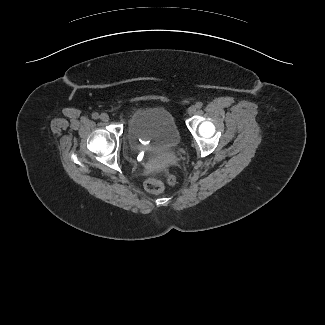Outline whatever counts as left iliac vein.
Returning a JSON list of instances; mask_svg holds the SVG:
<instances>
[{
  "instance_id": "1",
  "label": "left iliac vein",
  "mask_w": 325,
  "mask_h": 325,
  "mask_svg": "<svg viewBox=\"0 0 325 325\" xmlns=\"http://www.w3.org/2000/svg\"><path fill=\"white\" fill-rule=\"evenodd\" d=\"M196 111H197V108H196V106H194V105H192V106H190V107L188 108V114H189V115H194V114L196 113Z\"/></svg>"
}]
</instances>
